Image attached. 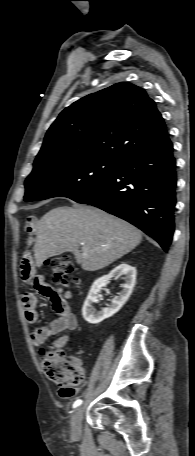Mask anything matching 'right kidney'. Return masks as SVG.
Returning <instances> with one entry per match:
<instances>
[{"label":"right kidney","mask_w":195,"mask_h":456,"mask_svg":"<svg viewBox=\"0 0 195 456\" xmlns=\"http://www.w3.org/2000/svg\"><path fill=\"white\" fill-rule=\"evenodd\" d=\"M125 275V283L122 290L115 297L109 307L96 311L93 304L99 301V292L113 277ZM136 282V268L128 263H122L115 267L109 274L94 281L82 308L83 318L90 324H98L117 313L130 297Z\"/></svg>","instance_id":"1"}]
</instances>
